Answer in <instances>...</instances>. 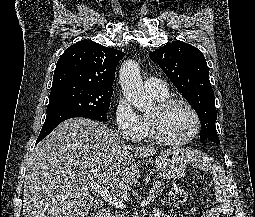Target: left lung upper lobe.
Returning a JSON list of instances; mask_svg holds the SVG:
<instances>
[{
  "label": "left lung upper lobe",
  "instance_id": "left-lung-upper-lobe-1",
  "mask_svg": "<svg viewBox=\"0 0 255 217\" xmlns=\"http://www.w3.org/2000/svg\"><path fill=\"white\" fill-rule=\"evenodd\" d=\"M201 120L200 141L220 144L215 128L217 119L209 69L203 53L194 46L175 41L150 53Z\"/></svg>",
  "mask_w": 255,
  "mask_h": 217
}]
</instances>
